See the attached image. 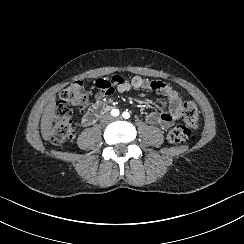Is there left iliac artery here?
Wrapping results in <instances>:
<instances>
[{"mask_svg":"<svg viewBox=\"0 0 244 244\" xmlns=\"http://www.w3.org/2000/svg\"><path fill=\"white\" fill-rule=\"evenodd\" d=\"M122 116H123V118L128 119L130 117V113L125 111V112H123Z\"/></svg>","mask_w":244,"mask_h":244,"instance_id":"44dca946","label":"left iliac artery"}]
</instances>
